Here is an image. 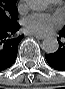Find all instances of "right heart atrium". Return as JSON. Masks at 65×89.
<instances>
[{
    "mask_svg": "<svg viewBox=\"0 0 65 89\" xmlns=\"http://www.w3.org/2000/svg\"><path fill=\"white\" fill-rule=\"evenodd\" d=\"M19 9H20V10H24V9H25L24 3H21V4L19 5Z\"/></svg>",
    "mask_w": 65,
    "mask_h": 89,
    "instance_id": "right-heart-atrium-1",
    "label": "right heart atrium"
}]
</instances>
